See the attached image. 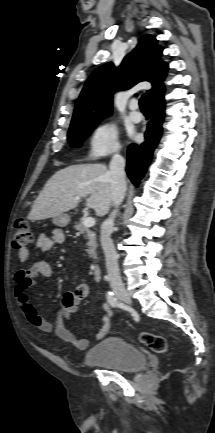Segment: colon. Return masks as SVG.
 Returning a JSON list of instances; mask_svg holds the SVG:
<instances>
[{"label":"colon","mask_w":215,"mask_h":433,"mask_svg":"<svg viewBox=\"0 0 215 433\" xmlns=\"http://www.w3.org/2000/svg\"><path fill=\"white\" fill-rule=\"evenodd\" d=\"M33 242V231L25 219H17L14 225L12 245L15 249H22ZM140 341L155 353H167L168 343L162 335L143 333Z\"/></svg>","instance_id":"5ec220e1"}]
</instances>
